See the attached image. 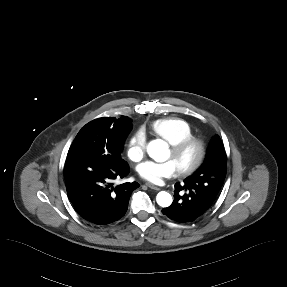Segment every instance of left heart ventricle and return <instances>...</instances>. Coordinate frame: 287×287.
<instances>
[{
  "label": "left heart ventricle",
  "mask_w": 287,
  "mask_h": 287,
  "mask_svg": "<svg viewBox=\"0 0 287 287\" xmlns=\"http://www.w3.org/2000/svg\"><path fill=\"white\" fill-rule=\"evenodd\" d=\"M194 156H195V150H189L182 157L176 159L172 156V153L170 151L168 159L172 160L176 164L177 168H179L180 166L188 164L189 162H191L193 160Z\"/></svg>",
  "instance_id": "1"
}]
</instances>
